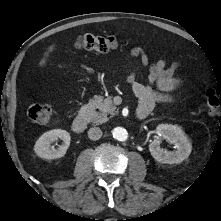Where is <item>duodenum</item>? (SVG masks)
I'll return each mask as SVG.
<instances>
[{
    "label": "duodenum",
    "instance_id": "1",
    "mask_svg": "<svg viewBox=\"0 0 221 221\" xmlns=\"http://www.w3.org/2000/svg\"><path fill=\"white\" fill-rule=\"evenodd\" d=\"M146 117L145 114L141 112H137V119L143 120ZM87 120H88V107L83 106L78 114V116L75 118V120L72 123V130L75 133H82L87 127Z\"/></svg>",
    "mask_w": 221,
    "mask_h": 221
}]
</instances>
